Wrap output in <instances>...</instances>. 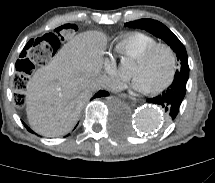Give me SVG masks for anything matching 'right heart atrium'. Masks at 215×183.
Masks as SVG:
<instances>
[{"instance_id":"obj_1","label":"right heart atrium","mask_w":215,"mask_h":183,"mask_svg":"<svg viewBox=\"0 0 215 183\" xmlns=\"http://www.w3.org/2000/svg\"><path fill=\"white\" fill-rule=\"evenodd\" d=\"M104 65L106 71L113 76L118 83L121 82L117 60L114 57H108L105 59Z\"/></svg>"}]
</instances>
